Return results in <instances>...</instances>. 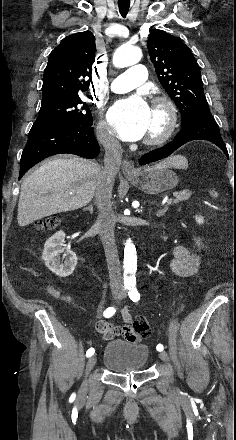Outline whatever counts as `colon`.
Returning <instances> with one entry per match:
<instances>
[{"instance_id": "5ec220e1", "label": "colon", "mask_w": 236, "mask_h": 440, "mask_svg": "<svg viewBox=\"0 0 236 440\" xmlns=\"http://www.w3.org/2000/svg\"><path fill=\"white\" fill-rule=\"evenodd\" d=\"M211 194L214 197H217L218 191L215 188H213L211 189ZM57 224L58 221L56 218H49L43 222H40L38 226L40 229L51 230L54 229L57 226ZM133 325H134V330L138 332V337L136 339H131V341H138L140 339H144L149 336L150 326L146 318L142 316H137L134 320Z\"/></svg>"}]
</instances>
